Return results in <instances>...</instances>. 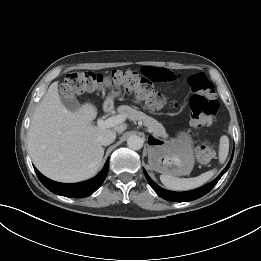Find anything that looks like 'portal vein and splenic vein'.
Listing matches in <instances>:
<instances>
[{"label": "portal vein and splenic vein", "instance_id": "obj_1", "mask_svg": "<svg viewBox=\"0 0 261 261\" xmlns=\"http://www.w3.org/2000/svg\"><path fill=\"white\" fill-rule=\"evenodd\" d=\"M126 117H127L126 115L120 114V115L112 116V117H110V118H108L106 120L99 119L97 121V125L100 128L115 127L116 125L124 122Z\"/></svg>", "mask_w": 261, "mask_h": 261}]
</instances>
